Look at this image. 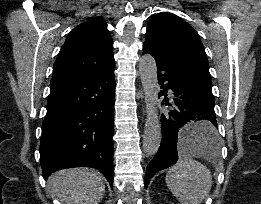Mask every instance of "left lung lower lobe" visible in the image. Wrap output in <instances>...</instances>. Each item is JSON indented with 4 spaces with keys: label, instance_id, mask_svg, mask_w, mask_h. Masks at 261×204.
Segmentation results:
<instances>
[{
    "label": "left lung lower lobe",
    "instance_id": "left-lung-lower-lobe-1",
    "mask_svg": "<svg viewBox=\"0 0 261 204\" xmlns=\"http://www.w3.org/2000/svg\"><path fill=\"white\" fill-rule=\"evenodd\" d=\"M143 52L151 54L157 64L158 81L162 84L159 97L164 95L162 104L170 106L161 115L162 142L158 153L147 167L145 188L151 177L158 171L168 168L178 160V152L183 148L194 149L201 141L209 144L216 138V114L212 83L186 68L165 61L153 50L143 46ZM168 84L163 86V83ZM174 98L168 102V90ZM197 122L187 133L181 127L187 122Z\"/></svg>",
    "mask_w": 261,
    "mask_h": 204
}]
</instances>
